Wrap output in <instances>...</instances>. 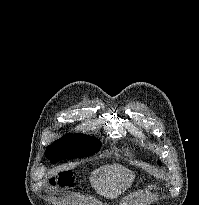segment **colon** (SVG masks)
<instances>
[{"instance_id": "5ec220e1", "label": "colon", "mask_w": 199, "mask_h": 205, "mask_svg": "<svg viewBox=\"0 0 199 205\" xmlns=\"http://www.w3.org/2000/svg\"><path fill=\"white\" fill-rule=\"evenodd\" d=\"M73 181V174L69 171H64L54 175L50 179L51 186H60L63 188H71Z\"/></svg>"}]
</instances>
